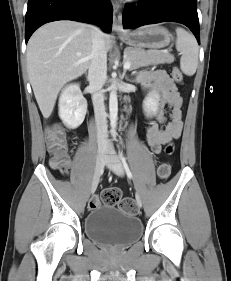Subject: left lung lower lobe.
Returning <instances> with one entry per match:
<instances>
[{
    "label": "left lung lower lobe",
    "mask_w": 231,
    "mask_h": 281,
    "mask_svg": "<svg viewBox=\"0 0 231 281\" xmlns=\"http://www.w3.org/2000/svg\"><path fill=\"white\" fill-rule=\"evenodd\" d=\"M163 21L186 25L200 44L196 0H144L136 7H125L122 16L125 29Z\"/></svg>",
    "instance_id": "left-lung-lower-lobe-1"
}]
</instances>
